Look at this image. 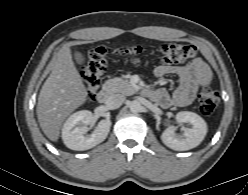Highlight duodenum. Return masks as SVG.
Segmentation results:
<instances>
[{"instance_id": "1", "label": "duodenum", "mask_w": 248, "mask_h": 195, "mask_svg": "<svg viewBox=\"0 0 248 195\" xmlns=\"http://www.w3.org/2000/svg\"><path fill=\"white\" fill-rule=\"evenodd\" d=\"M97 99L100 103H109L112 100V89L109 86H104L99 90Z\"/></svg>"}]
</instances>
